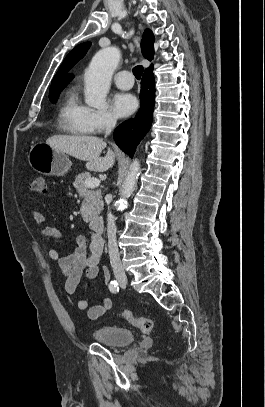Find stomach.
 Returning a JSON list of instances; mask_svg holds the SVG:
<instances>
[{
	"label": "stomach",
	"mask_w": 265,
	"mask_h": 407,
	"mask_svg": "<svg viewBox=\"0 0 265 407\" xmlns=\"http://www.w3.org/2000/svg\"><path fill=\"white\" fill-rule=\"evenodd\" d=\"M28 161L37 172L51 176H64L71 167V161L65 153L44 142H39L30 149Z\"/></svg>",
	"instance_id": "obj_1"
}]
</instances>
